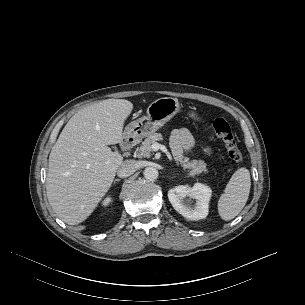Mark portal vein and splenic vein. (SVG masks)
Wrapping results in <instances>:
<instances>
[{"label": "portal vein and splenic vein", "instance_id": "portal-vein-and-splenic-vein-1", "mask_svg": "<svg viewBox=\"0 0 305 305\" xmlns=\"http://www.w3.org/2000/svg\"><path fill=\"white\" fill-rule=\"evenodd\" d=\"M152 148L155 149V150H158V149L160 148V144L154 143V144L152 145Z\"/></svg>", "mask_w": 305, "mask_h": 305}]
</instances>
